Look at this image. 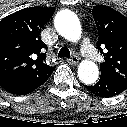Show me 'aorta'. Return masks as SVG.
Returning a JSON list of instances; mask_svg holds the SVG:
<instances>
[{
	"instance_id": "aorta-1",
	"label": "aorta",
	"mask_w": 127,
	"mask_h": 127,
	"mask_svg": "<svg viewBox=\"0 0 127 127\" xmlns=\"http://www.w3.org/2000/svg\"><path fill=\"white\" fill-rule=\"evenodd\" d=\"M57 32L70 41H77L81 36V26L77 16L68 10L60 11L54 20ZM79 79L87 85L96 82L99 76L98 66L91 60H84L78 67Z\"/></svg>"
}]
</instances>
